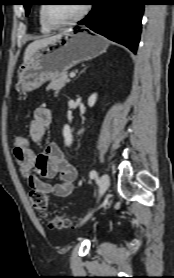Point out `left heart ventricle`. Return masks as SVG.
<instances>
[{"instance_id": "left-heart-ventricle-1", "label": "left heart ventricle", "mask_w": 174, "mask_h": 278, "mask_svg": "<svg viewBox=\"0 0 174 278\" xmlns=\"http://www.w3.org/2000/svg\"><path fill=\"white\" fill-rule=\"evenodd\" d=\"M80 4L49 5L48 16L56 23L68 21L75 17L82 9Z\"/></svg>"}]
</instances>
